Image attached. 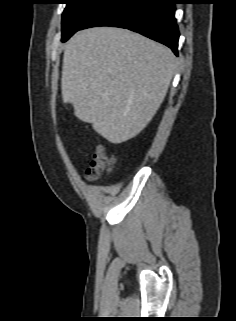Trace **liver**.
<instances>
[{
  "label": "liver",
  "mask_w": 236,
  "mask_h": 321,
  "mask_svg": "<svg viewBox=\"0 0 236 321\" xmlns=\"http://www.w3.org/2000/svg\"><path fill=\"white\" fill-rule=\"evenodd\" d=\"M175 69L169 48L138 33L114 27L86 29L64 49L62 99L106 140L123 143L154 117Z\"/></svg>",
  "instance_id": "1"
}]
</instances>
